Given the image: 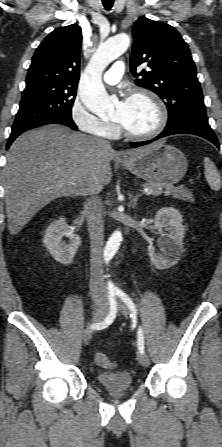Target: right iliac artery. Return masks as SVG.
Returning a JSON list of instances; mask_svg holds the SVG:
<instances>
[{
  "label": "right iliac artery",
  "instance_id": "1",
  "mask_svg": "<svg viewBox=\"0 0 222 447\" xmlns=\"http://www.w3.org/2000/svg\"><path fill=\"white\" fill-rule=\"evenodd\" d=\"M109 303H110V312H109L108 316L105 318V320L102 323L93 324L91 326L93 329H103V328L107 327L108 325H110L114 321V319L116 317V313H117V305H116V301L114 298V294L109 295Z\"/></svg>",
  "mask_w": 222,
  "mask_h": 447
}]
</instances>
